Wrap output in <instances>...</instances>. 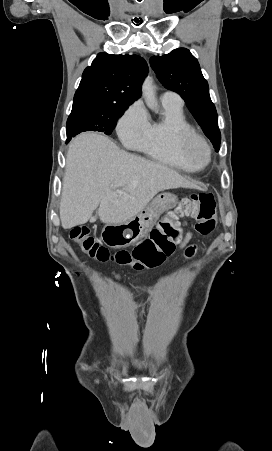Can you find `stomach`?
I'll return each instance as SVG.
<instances>
[{
  "label": "stomach",
  "mask_w": 272,
  "mask_h": 451,
  "mask_svg": "<svg viewBox=\"0 0 272 451\" xmlns=\"http://www.w3.org/2000/svg\"><path fill=\"white\" fill-rule=\"evenodd\" d=\"M178 204L177 196L174 194H158L148 206H145L139 214L122 222V224H108L103 227L101 239L109 247H128L142 237H146L152 227L155 226L161 214L172 210Z\"/></svg>",
  "instance_id": "1"
}]
</instances>
